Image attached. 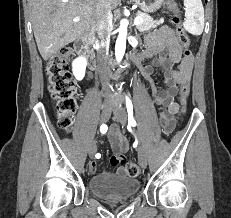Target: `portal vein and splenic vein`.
Instances as JSON below:
<instances>
[{
  "mask_svg": "<svg viewBox=\"0 0 231 218\" xmlns=\"http://www.w3.org/2000/svg\"><path fill=\"white\" fill-rule=\"evenodd\" d=\"M79 20L80 19L78 17L74 18V22H78ZM142 21H143V19L141 17H136L134 20V24L139 25Z\"/></svg>",
  "mask_w": 231,
  "mask_h": 218,
  "instance_id": "1",
  "label": "portal vein and splenic vein"
}]
</instances>
